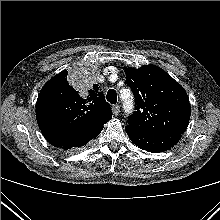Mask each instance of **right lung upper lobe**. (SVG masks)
I'll return each mask as SVG.
<instances>
[{
	"label": "right lung upper lobe",
	"instance_id": "right-lung-upper-lobe-1",
	"mask_svg": "<svg viewBox=\"0 0 220 220\" xmlns=\"http://www.w3.org/2000/svg\"><path fill=\"white\" fill-rule=\"evenodd\" d=\"M67 70L51 78L36 102V119L46 140L61 146L88 134L112 118V110L94 84L80 96L70 84Z\"/></svg>",
	"mask_w": 220,
	"mask_h": 220
}]
</instances>
